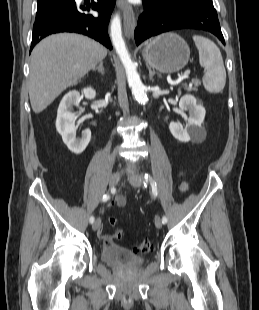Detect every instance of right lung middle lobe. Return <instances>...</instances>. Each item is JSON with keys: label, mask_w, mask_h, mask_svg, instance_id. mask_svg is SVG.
I'll list each match as a JSON object with an SVG mask.
<instances>
[{"label": "right lung middle lobe", "mask_w": 259, "mask_h": 310, "mask_svg": "<svg viewBox=\"0 0 259 310\" xmlns=\"http://www.w3.org/2000/svg\"><path fill=\"white\" fill-rule=\"evenodd\" d=\"M74 0H37V12H43L50 8L67 7L74 4Z\"/></svg>", "instance_id": "dd1d6c3e"}]
</instances>
